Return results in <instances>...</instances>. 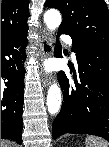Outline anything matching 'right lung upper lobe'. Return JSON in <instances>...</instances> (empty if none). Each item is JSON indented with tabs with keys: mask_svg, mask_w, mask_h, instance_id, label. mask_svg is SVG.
<instances>
[{
	"mask_svg": "<svg viewBox=\"0 0 109 147\" xmlns=\"http://www.w3.org/2000/svg\"><path fill=\"white\" fill-rule=\"evenodd\" d=\"M29 0L1 1V39L27 29Z\"/></svg>",
	"mask_w": 109,
	"mask_h": 147,
	"instance_id": "right-lung-upper-lobe-1",
	"label": "right lung upper lobe"
}]
</instances>
